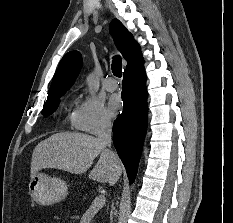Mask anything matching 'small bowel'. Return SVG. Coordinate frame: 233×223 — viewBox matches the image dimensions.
<instances>
[{
  "label": "small bowel",
  "instance_id": "small-bowel-1",
  "mask_svg": "<svg viewBox=\"0 0 233 223\" xmlns=\"http://www.w3.org/2000/svg\"><path fill=\"white\" fill-rule=\"evenodd\" d=\"M81 223H88L87 217H83Z\"/></svg>",
  "mask_w": 233,
  "mask_h": 223
}]
</instances>
